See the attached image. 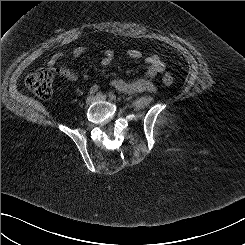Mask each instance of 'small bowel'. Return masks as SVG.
Masks as SVG:
<instances>
[{
	"mask_svg": "<svg viewBox=\"0 0 245 245\" xmlns=\"http://www.w3.org/2000/svg\"><path fill=\"white\" fill-rule=\"evenodd\" d=\"M86 52L84 48L78 47L70 51L68 54L58 53L52 56L48 62V67L53 70L57 75L67 79L68 81L74 82L77 80V73L66 66H61L58 64L61 58L66 56L78 57ZM103 59L102 64L104 66L111 65L115 59L116 55L112 50L106 49L102 52ZM127 56L133 60L142 59V53L137 49H131L127 51ZM147 69L142 78L134 81H126L122 78H115L111 80L110 85L121 93L125 94H136V93H154L156 91V85L154 83L155 78L164 72L165 64L157 55H150L144 59ZM97 90V86L91 87V93Z\"/></svg>",
	"mask_w": 245,
	"mask_h": 245,
	"instance_id": "obj_1",
	"label": "small bowel"
}]
</instances>
